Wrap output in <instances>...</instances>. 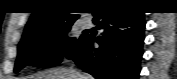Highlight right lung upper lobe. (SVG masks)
I'll return each instance as SVG.
<instances>
[{
  "label": "right lung upper lobe",
  "instance_id": "right-lung-upper-lobe-1",
  "mask_svg": "<svg viewBox=\"0 0 177 79\" xmlns=\"http://www.w3.org/2000/svg\"><path fill=\"white\" fill-rule=\"evenodd\" d=\"M70 1H52L42 0L38 1L34 6L33 13L25 26L23 37L46 28H52L62 25L74 23L79 15L69 12L72 10L68 3ZM101 7L93 9V15Z\"/></svg>",
  "mask_w": 177,
  "mask_h": 79
}]
</instances>
